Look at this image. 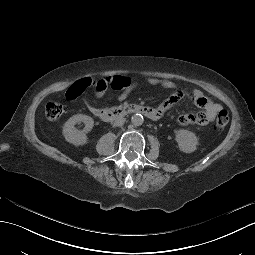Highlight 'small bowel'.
Returning a JSON list of instances; mask_svg holds the SVG:
<instances>
[{"instance_id":"small-bowel-1","label":"small bowel","mask_w":255,"mask_h":255,"mask_svg":"<svg viewBox=\"0 0 255 255\" xmlns=\"http://www.w3.org/2000/svg\"><path fill=\"white\" fill-rule=\"evenodd\" d=\"M125 79L127 81V84L123 88L118 89L120 90L119 94L117 95L118 102H124L128 98L129 94L139 86L138 82L132 81L128 78ZM147 82L153 86H161L167 89L177 88L176 83L168 79L148 78ZM107 87V85H104L103 80L99 81L94 87L95 95L97 97H102ZM80 94L81 93L74 91L73 86H71L66 91L65 96L67 100L72 101L76 99ZM184 98L190 99L197 107H200L202 111L180 116L178 118V122L180 125L195 124L198 126H205L212 122L217 116L218 112H220L222 109L220 104L215 103L210 98L205 96L202 91L196 89L190 92L176 90L167 99L161 102L156 110L159 115H161ZM85 104L90 111H93L95 109V107L89 102L88 99H85Z\"/></svg>"}]
</instances>
